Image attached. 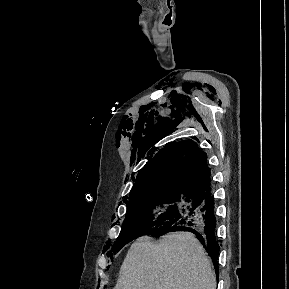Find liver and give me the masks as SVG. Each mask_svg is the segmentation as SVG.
Wrapping results in <instances>:
<instances>
[{"instance_id":"6515ba94","label":"liver","mask_w":289,"mask_h":289,"mask_svg":"<svg viewBox=\"0 0 289 289\" xmlns=\"http://www.w3.org/2000/svg\"><path fill=\"white\" fill-rule=\"evenodd\" d=\"M114 289H216V277L198 239L177 232L158 244L147 237L133 243Z\"/></svg>"}]
</instances>
